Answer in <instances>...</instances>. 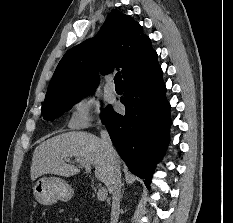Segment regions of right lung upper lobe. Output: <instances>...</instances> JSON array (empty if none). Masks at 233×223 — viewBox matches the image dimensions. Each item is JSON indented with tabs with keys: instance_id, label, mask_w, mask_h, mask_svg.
Listing matches in <instances>:
<instances>
[{
	"instance_id": "obj_1",
	"label": "right lung upper lobe",
	"mask_w": 233,
	"mask_h": 223,
	"mask_svg": "<svg viewBox=\"0 0 233 223\" xmlns=\"http://www.w3.org/2000/svg\"><path fill=\"white\" fill-rule=\"evenodd\" d=\"M157 63L151 40L138 22L113 10L98 35L66 52L50 81L43 105L95 89L100 71L122 68L124 80ZM42 105V106H43Z\"/></svg>"
}]
</instances>
